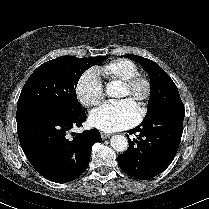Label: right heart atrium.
<instances>
[{
  "mask_svg": "<svg viewBox=\"0 0 209 209\" xmlns=\"http://www.w3.org/2000/svg\"><path fill=\"white\" fill-rule=\"evenodd\" d=\"M75 91L79 102L89 109L103 102V84L97 73L93 70H87L80 76L76 83Z\"/></svg>",
  "mask_w": 209,
  "mask_h": 209,
  "instance_id": "1",
  "label": "right heart atrium"
}]
</instances>
